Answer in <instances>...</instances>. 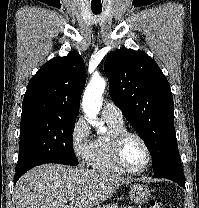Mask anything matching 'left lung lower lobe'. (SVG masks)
<instances>
[{
  "instance_id": "left-lung-lower-lobe-1",
  "label": "left lung lower lobe",
  "mask_w": 199,
  "mask_h": 208,
  "mask_svg": "<svg viewBox=\"0 0 199 208\" xmlns=\"http://www.w3.org/2000/svg\"><path fill=\"white\" fill-rule=\"evenodd\" d=\"M155 178H167L185 188V178L179 152L171 156L159 167L153 169Z\"/></svg>"
}]
</instances>
